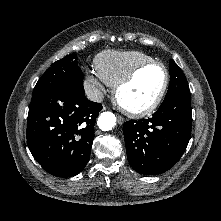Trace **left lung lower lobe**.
<instances>
[{"instance_id":"left-lung-lower-lobe-1","label":"left lung lower lobe","mask_w":221,"mask_h":221,"mask_svg":"<svg viewBox=\"0 0 221 221\" xmlns=\"http://www.w3.org/2000/svg\"><path fill=\"white\" fill-rule=\"evenodd\" d=\"M189 90L165 99L148 119L123 125L127 159L140 174H161L181 158L191 137Z\"/></svg>"}]
</instances>
